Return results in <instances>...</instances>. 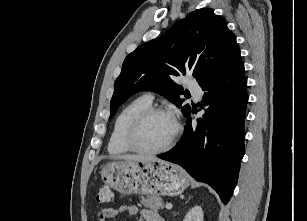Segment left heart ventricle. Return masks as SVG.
<instances>
[{"label":"left heart ventricle","instance_id":"1","mask_svg":"<svg viewBox=\"0 0 307 221\" xmlns=\"http://www.w3.org/2000/svg\"><path fill=\"white\" fill-rule=\"evenodd\" d=\"M175 127V120L170 115H152L143 123L138 134V143L148 149L159 148L170 139Z\"/></svg>","mask_w":307,"mask_h":221}]
</instances>
